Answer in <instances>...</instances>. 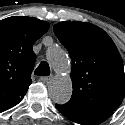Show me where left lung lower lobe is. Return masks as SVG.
<instances>
[{"label": "left lung lower lobe", "mask_w": 125, "mask_h": 125, "mask_svg": "<svg viewBox=\"0 0 125 125\" xmlns=\"http://www.w3.org/2000/svg\"><path fill=\"white\" fill-rule=\"evenodd\" d=\"M56 108L68 119L82 125H97L104 122L112 114V110H101L95 112L69 111L61 105L56 104Z\"/></svg>", "instance_id": "1"}]
</instances>
